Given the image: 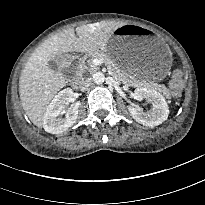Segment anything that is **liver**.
<instances>
[{"label":"liver","instance_id":"liver-1","mask_svg":"<svg viewBox=\"0 0 205 205\" xmlns=\"http://www.w3.org/2000/svg\"><path fill=\"white\" fill-rule=\"evenodd\" d=\"M123 25L102 21L65 30L43 42L30 56L20 76L19 93L22 107L37 127H42L44 115L54 95L67 81L61 72L52 70L48 63L56 55L66 52L90 53L102 48L112 32Z\"/></svg>","mask_w":205,"mask_h":205}]
</instances>
